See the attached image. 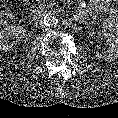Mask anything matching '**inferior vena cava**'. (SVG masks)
<instances>
[{
	"label": "inferior vena cava",
	"mask_w": 118,
	"mask_h": 118,
	"mask_svg": "<svg viewBox=\"0 0 118 118\" xmlns=\"http://www.w3.org/2000/svg\"><path fill=\"white\" fill-rule=\"evenodd\" d=\"M43 23V18L42 19H39V20H35V24L36 26H39Z\"/></svg>",
	"instance_id": "inferior-vena-cava-1"
}]
</instances>
